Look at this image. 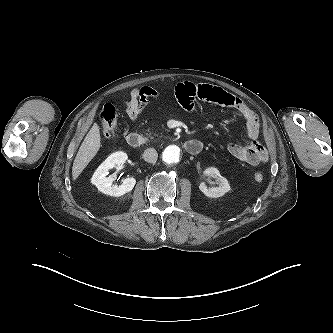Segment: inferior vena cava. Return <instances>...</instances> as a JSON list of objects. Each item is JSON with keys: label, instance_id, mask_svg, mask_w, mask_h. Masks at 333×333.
I'll return each instance as SVG.
<instances>
[{"label": "inferior vena cava", "instance_id": "1", "mask_svg": "<svg viewBox=\"0 0 333 333\" xmlns=\"http://www.w3.org/2000/svg\"><path fill=\"white\" fill-rule=\"evenodd\" d=\"M143 158L149 163H155L158 158V153L154 148H148L144 151Z\"/></svg>", "mask_w": 333, "mask_h": 333}]
</instances>
